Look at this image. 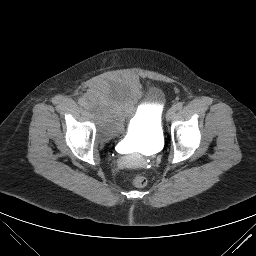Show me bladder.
I'll return each instance as SVG.
<instances>
[{
  "label": "bladder",
  "mask_w": 256,
  "mask_h": 256,
  "mask_svg": "<svg viewBox=\"0 0 256 256\" xmlns=\"http://www.w3.org/2000/svg\"><path fill=\"white\" fill-rule=\"evenodd\" d=\"M86 100V109L100 140L109 141L121 136L125 120L133 118L125 132L130 144L154 149L162 143L165 96L160 88L144 89L135 79L104 77L89 90ZM142 101L145 104L137 112Z\"/></svg>",
  "instance_id": "31cf9c89"
}]
</instances>
